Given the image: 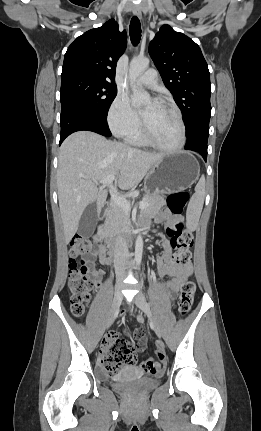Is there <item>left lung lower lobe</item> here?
Returning a JSON list of instances; mask_svg holds the SVG:
<instances>
[{"mask_svg":"<svg viewBox=\"0 0 261 431\" xmlns=\"http://www.w3.org/2000/svg\"><path fill=\"white\" fill-rule=\"evenodd\" d=\"M209 136V126L199 128L196 133L187 139L184 147L186 150L198 152L207 161V141Z\"/></svg>","mask_w":261,"mask_h":431,"instance_id":"left-lung-lower-lobe-1","label":"left lung lower lobe"}]
</instances>
